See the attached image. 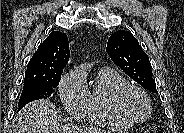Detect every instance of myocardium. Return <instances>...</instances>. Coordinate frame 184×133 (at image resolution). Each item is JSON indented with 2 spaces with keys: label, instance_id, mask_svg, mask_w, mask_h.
Masks as SVG:
<instances>
[{
  "label": "myocardium",
  "instance_id": "obj_1",
  "mask_svg": "<svg viewBox=\"0 0 184 133\" xmlns=\"http://www.w3.org/2000/svg\"><path fill=\"white\" fill-rule=\"evenodd\" d=\"M136 92L138 93L146 103L147 111L146 114L141 118L132 117L124 107V100L128 93ZM113 109L115 113L126 123L128 124H140L146 121L152 111V105L149 96L147 93L139 86L133 84H127L124 86L119 87L116 92L114 93L112 99Z\"/></svg>",
  "mask_w": 184,
  "mask_h": 133
}]
</instances>
